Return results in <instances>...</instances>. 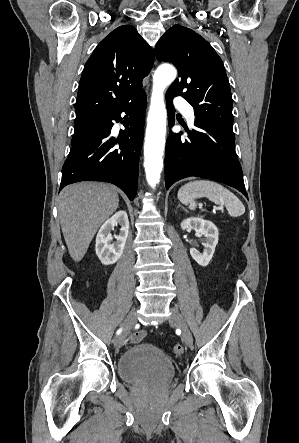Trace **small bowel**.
Segmentation results:
<instances>
[{"label": "small bowel", "mask_w": 299, "mask_h": 443, "mask_svg": "<svg viewBox=\"0 0 299 443\" xmlns=\"http://www.w3.org/2000/svg\"><path fill=\"white\" fill-rule=\"evenodd\" d=\"M146 335L145 331H139L131 336V342L137 343L140 342Z\"/></svg>", "instance_id": "c3829d8e"}]
</instances>
